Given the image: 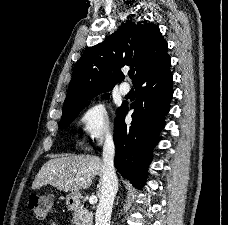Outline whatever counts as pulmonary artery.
<instances>
[{
    "label": "pulmonary artery",
    "mask_w": 228,
    "mask_h": 225,
    "mask_svg": "<svg viewBox=\"0 0 228 225\" xmlns=\"http://www.w3.org/2000/svg\"><path fill=\"white\" fill-rule=\"evenodd\" d=\"M119 92L121 95L126 96L130 92V85L127 82H123L119 86Z\"/></svg>",
    "instance_id": "obj_1"
}]
</instances>
